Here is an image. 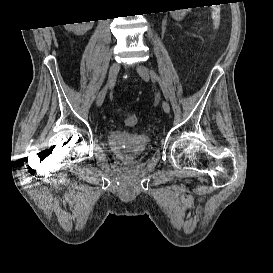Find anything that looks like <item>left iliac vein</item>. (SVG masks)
<instances>
[{
  "instance_id": "obj_1",
  "label": "left iliac vein",
  "mask_w": 273,
  "mask_h": 273,
  "mask_svg": "<svg viewBox=\"0 0 273 273\" xmlns=\"http://www.w3.org/2000/svg\"><path fill=\"white\" fill-rule=\"evenodd\" d=\"M135 68H136L138 74L140 75V77L145 82H148L149 79H150V75H149L148 69L144 65H142V64L135 65ZM162 108H163V110H164L165 113H169L170 112V105H169L168 102L163 101Z\"/></svg>"
}]
</instances>
